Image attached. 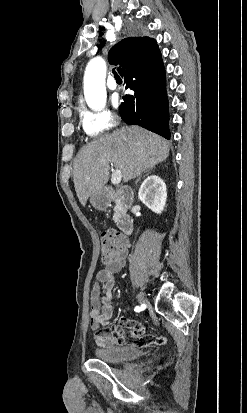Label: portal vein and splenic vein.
I'll return each instance as SVG.
<instances>
[{
  "label": "portal vein and splenic vein",
  "mask_w": 247,
  "mask_h": 413,
  "mask_svg": "<svg viewBox=\"0 0 247 413\" xmlns=\"http://www.w3.org/2000/svg\"><path fill=\"white\" fill-rule=\"evenodd\" d=\"M121 178H122L121 170H119V168H117V170H113L112 176H111V182H113V184H119V182H121Z\"/></svg>",
  "instance_id": "obj_1"
}]
</instances>
